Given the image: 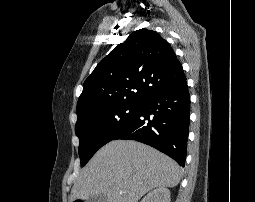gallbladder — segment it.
Wrapping results in <instances>:
<instances>
[{"mask_svg":"<svg viewBox=\"0 0 255 202\" xmlns=\"http://www.w3.org/2000/svg\"><path fill=\"white\" fill-rule=\"evenodd\" d=\"M87 202H107V197L105 194H99L91 197Z\"/></svg>","mask_w":255,"mask_h":202,"instance_id":"bac80fb5","label":"gallbladder"}]
</instances>
